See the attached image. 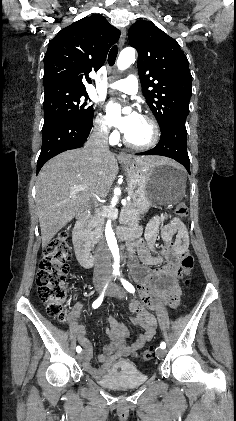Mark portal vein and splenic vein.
Instances as JSON below:
<instances>
[{"mask_svg": "<svg viewBox=\"0 0 236 421\" xmlns=\"http://www.w3.org/2000/svg\"><path fill=\"white\" fill-rule=\"evenodd\" d=\"M85 188H88V186H84V184H77V186H74V190H85ZM121 202L126 206V198H122Z\"/></svg>", "mask_w": 236, "mask_h": 421, "instance_id": "obj_1", "label": "portal vein and splenic vein"}]
</instances>
